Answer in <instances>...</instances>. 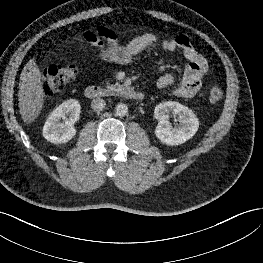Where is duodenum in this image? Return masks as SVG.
Returning a JSON list of instances; mask_svg holds the SVG:
<instances>
[{
	"instance_id": "obj_1",
	"label": "duodenum",
	"mask_w": 263,
	"mask_h": 263,
	"mask_svg": "<svg viewBox=\"0 0 263 263\" xmlns=\"http://www.w3.org/2000/svg\"><path fill=\"white\" fill-rule=\"evenodd\" d=\"M111 92L97 85H90L85 88L84 94L89 99L102 98ZM116 93L130 100L141 101L144 94L132 87L124 86L116 90Z\"/></svg>"
}]
</instances>
